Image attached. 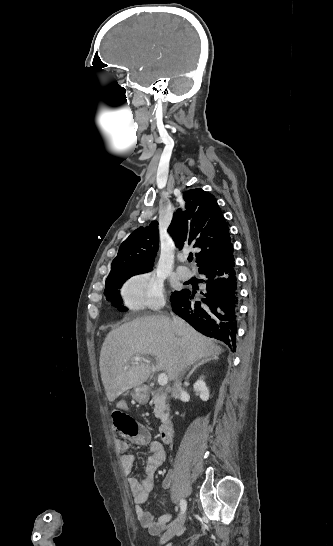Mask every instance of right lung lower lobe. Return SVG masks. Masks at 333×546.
<instances>
[{"instance_id":"1","label":"right lung lower lobe","mask_w":333,"mask_h":546,"mask_svg":"<svg viewBox=\"0 0 333 546\" xmlns=\"http://www.w3.org/2000/svg\"><path fill=\"white\" fill-rule=\"evenodd\" d=\"M206 290L200 301L187 289L173 292V312L202 334L223 341L236 350L238 285L232 244L199 268Z\"/></svg>"}]
</instances>
